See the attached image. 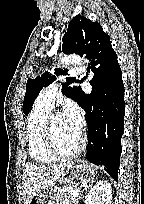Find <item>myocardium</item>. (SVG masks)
Here are the masks:
<instances>
[{"label":"myocardium","instance_id":"obj_1","mask_svg":"<svg viewBox=\"0 0 144 204\" xmlns=\"http://www.w3.org/2000/svg\"><path fill=\"white\" fill-rule=\"evenodd\" d=\"M57 116H61V115L60 114L49 115L45 124V141H46L47 148L50 151V153L54 155L56 158L64 159V158L74 157L78 155L82 150L83 138L79 136L78 142L73 150L68 152L62 151L57 145L55 135H54V129H53L54 119Z\"/></svg>","mask_w":144,"mask_h":204}]
</instances>
